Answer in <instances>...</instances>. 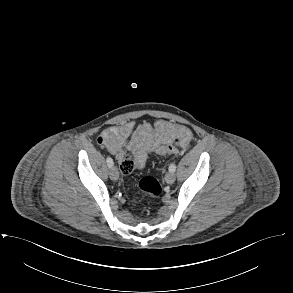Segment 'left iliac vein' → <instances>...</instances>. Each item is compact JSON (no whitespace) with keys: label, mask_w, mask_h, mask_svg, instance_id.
<instances>
[{"label":"left iliac vein","mask_w":293,"mask_h":293,"mask_svg":"<svg viewBox=\"0 0 293 293\" xmlns=\"http://www.w3.org/2000/svg\"><path fill=\"white\" fill-rule=\"evenodd\" d=\"M165 181L168 183V184H172L174 183L175 181V174L173 172H168L166 175H165Z\"/></svg>","instance_id":"left-iliac-vein-1"}]
</instances>
